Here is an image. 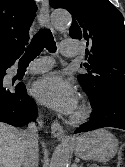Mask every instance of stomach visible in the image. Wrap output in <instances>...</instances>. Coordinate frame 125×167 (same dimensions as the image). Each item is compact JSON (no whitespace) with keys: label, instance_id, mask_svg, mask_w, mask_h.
<instances>
[{"label":"stomach","instance_id":"0dacf381","mask_svg":"<svg viewBox=\"0 0 125 167\" xmlns=\"http://www.w3.org/2000/svg\"><path fill=\"white\" fill-rule=\"evenodd\" d=\"M118 139L109 131L99 129L75 138L72 148L84 160L108 162L118 151Z\"/></svg>","mask_w":125,"mask_h":167}]
</instances>
